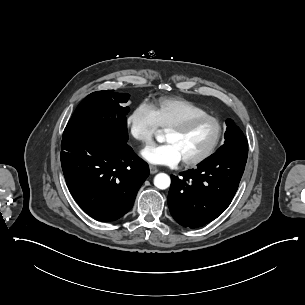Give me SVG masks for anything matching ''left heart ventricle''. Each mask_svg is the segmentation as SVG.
Wrapping results in <instances>:
<instances>
[{"label":"left heart ventricle","mask_w":305,"mask_h":305,"mask_svg":"<svg viewBox=\"0 0 305 305\" xmlns=\"http://www.w3.org/2000/svg\"><path fill=\"white\" fill-rule=\"evenodd\" d=\"M219 126L217 122L208 120L193 125L185 131L165 132V140L176 146L182 160L194 159L209 149L217 139Z\"/></svg>","instance_id":"obj_1"}]
</instances>
